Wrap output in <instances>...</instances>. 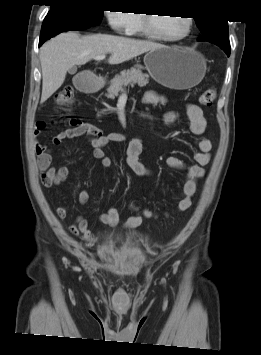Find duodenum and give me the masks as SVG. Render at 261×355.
<instances>
[{"label": "duodenum", "instance_id": "duodenum-1", "mask_svg": "<svg viewBox=\"0 0 261 355\" xmlns=\"http://www.w3.org/2000/svg\"><path fill=\"white\" fill-rule=\"evenodd\" d=\"M77 87L82 91H92L97 88L96 82L89 79H80L77 82Z\"/></svg>", "mask_w": 261, "mask_h": 355}]
</instances>
